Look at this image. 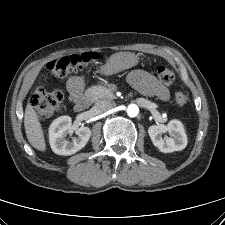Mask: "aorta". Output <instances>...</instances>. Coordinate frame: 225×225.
I'll return each mask as SVG.
<instances>
[{
    "instance_id": "obj_1",
    "label": "aorta",
    "mask_w": 225,
    "mask_h": 225,
    "mask_svg": "<svg viewBox=\"0 0 225 225\" xmlns=\"http://www.w3.org/2000/svg\"><path fill=\"white\" fill-rule=\"evenodd\" d=\"M139 113V107L136 104H130L127 107V114L129 117H136Z\"/></svg>"
}]
</instances>
